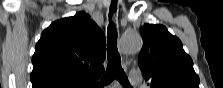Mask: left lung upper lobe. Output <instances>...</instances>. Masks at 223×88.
Here are the masks:
<instances>
[{"label":"left lung upper lobe","mask_w":223,"mask_h":88,"mask_svg":"<svg viewBox=\"0 0 223 88\" xmlns=\"http://www.w3.org/2000/svg\"><path fill=\"white\" fill-rule=\"evenodd\" d=\"M138 65L151 88H199L193 61L181 41L162 25L145 24Z\"/></svg>","instance_id":"5c2ea615"}]
</instances>
